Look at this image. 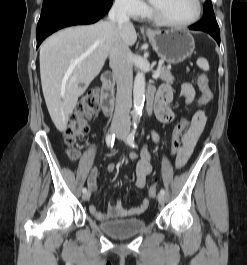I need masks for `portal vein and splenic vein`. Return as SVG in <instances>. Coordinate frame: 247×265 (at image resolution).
<instances>
[{
    "mask_svg": "<svg viewBox=\"0 0 247 265\" xmlns=\"http://www.w3.org/2000/svg\"><path fill=\"white\" fill-rule=\"evenodd\" d=\"M159 74H160V72H159V71H156V72L152 75V77H153L154 79H156V78L159 77Z\"/></svg>",
    "mask_w": 247,
    "mask_h": 265,
    "instance_id": "obj_1",
    "label": "portal vein and splenic vein"
}]
</instances>
